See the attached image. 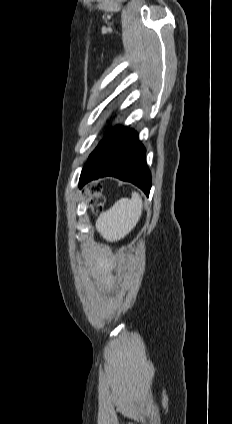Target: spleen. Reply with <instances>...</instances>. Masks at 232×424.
Segmentation results:
<instances>
[{
    "instance_id": "3e777b00",
    "label": "spleen",
    "mask_w": 232,
    "mask_h": 424,
    "mask_svg": "<svg viewBox=\"0 0 232 424\" xmlns=\"http://www.w3.org/2000/svg\"><path fill=\"white\" fill-rule=\"evenodd\" d=\"M142 207V198L137 192H132L131 199L121 198L100 214L96 221L97 231L110 242L124 238L139 221Z\"/></svg>"
}]
</instances>
